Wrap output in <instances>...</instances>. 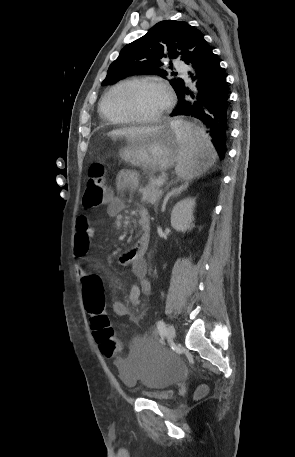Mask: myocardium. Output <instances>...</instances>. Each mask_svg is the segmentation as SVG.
Here are the masks:
<instances>
[{
	"label": "myocardium",
	"instance_id": "f54148a6",
	"mask_svg": "<svg viewBox=\"0 0 295 457\" xmlns=\"http://www.w3.org/2000/svg\"><path fill=\"white\" fill-rule=\"evenodd\" d=\"M158 86L168 93L167 104L165 108L157 115L152 117L140 116L133 108L132 96L134 92L142 87ZM117 101L122 112L128 116L133 122L137 123H155L160 121L170 110L172 99L167 87L158 80L153 79H136L126 84L119 92Z\"/></svg>",
	"mask_w": 295,
	"mask_h": 457
}]
</instances>
